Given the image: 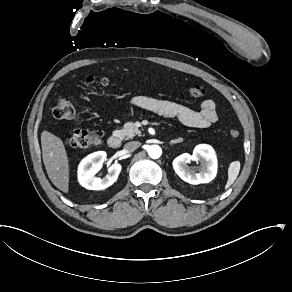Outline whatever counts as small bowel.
Segmentation results:
<instances>
[{"label": "small bowel", "mask_w": 292, "mask_h": 292, "mask_svg": "<svg viewBox=\"0 0 292 292\" xmlns=\"http://www.w3.org/2000/svg\"><path fill=\"white\" fill-rule=\"evenodd\" d=\"M136 107L158 113L163 116L175 117L184 125L194 128H206L218 121L216 105L210 99L203 100L198 110L184 105L144 95H136L131 100Z\"/></svg>", "instance_id": "small-bowel-1"}]
</instances>
